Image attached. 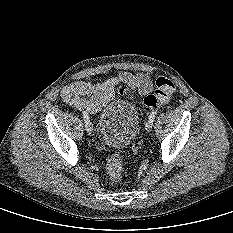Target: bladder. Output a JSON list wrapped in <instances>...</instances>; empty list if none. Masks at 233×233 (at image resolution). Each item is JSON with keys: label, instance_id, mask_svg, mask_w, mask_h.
Wrapping results in <instances>:
<instances>
[{"label": "bladder", "instance_id": "31cf9c89", "mask_svg": "<svg viewBox=\"0 0 233 233\" xmlns=\"http://www.w3.org/2000/svg\"><path fill=\"white\" fill-rule=\"evenodd\" d=\"M140 124L137 108L129 101L109 102L102 110L99 126L104 142L114 148L126 147L135 138Z\"/></svg>", "mask_w": 233, "mask_h": 233}]
</instances>
